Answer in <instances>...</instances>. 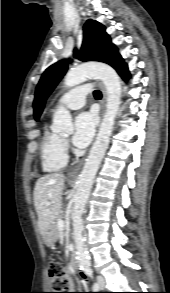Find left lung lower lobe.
Returning a JSON list of instances; mask_svg holds the SVG:
<instances>
[{"mask_svg":"<svg viewBox=\"0 0 170 293\" xmlns=\"http://www.w3.org/2000/svg\"><path fill=\"white\" fill-rule=\"evenodd\" d=\"M111 66L117 70L119 75L124 79L127 80L129 78V71L127 68L126 63H124V60L122 57L119 55L117 58L113 61Z\"/></svg>","mask_w":170,"mask_h":293,"instance_id":"obj_1","label":"left lung lower lobe"}]
</instances>
